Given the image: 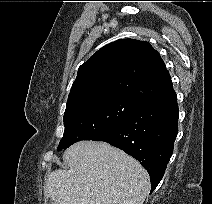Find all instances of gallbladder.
Returning <instances> with one entry per match:
<instances>
[{
    "label": "gallbladder",
    "mask_w": 212,
    "mask_h": 204,
    "mask_svg": "<svg viewBox=\"0 0 212 204\" xmlns=\"http://www.w3.org/2000/svg\"><path fill=\"white\" fill-rule=\"evenodd\" d=\"M50 204H55L54 202H51Z\"/></svg>",
    "instance_id": "1"
}]
</instances>
